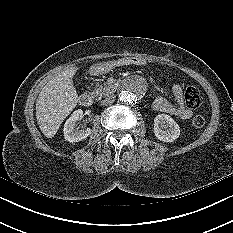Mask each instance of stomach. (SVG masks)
Segmentation results:
<instances>
[{
	"instance_id": "0dacf381",
	"label": "stomach",
	"mask_w": 233,
	"mask_h": 233,
	"mask_svg": "<svg viewBox=\"0 0 233 233\" xmlns=\"http://www.w3.org/2000/svg\"><path fill=\"white\" fill-rule=\"evenodd\" d=\"M145 63L146 61L142 58L125 57V58L118 59L115 61H109L107 62V64L95 65L90 69V72L94 75H98V74H104L108 72L109 70H114V69L127 67V66L142 65Z\"/></svg>"
}]
</instances>
